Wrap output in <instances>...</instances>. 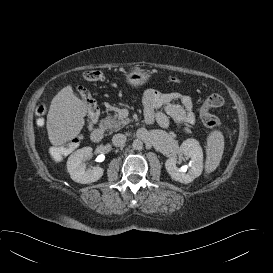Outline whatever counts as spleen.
I'll use <instances>...</instances> for the list:
<instances>
[{"mask_svg":"<svg viewBox=\"0 0 273 273\" xmlns=\"http://www.w3.org/2000/svg\"><path fill=\"white\" fill-rule=\"evenodd\" d=\"M224 151V136L221 131L214 130L207 137L206 145V173L213 172L219 165Z\"/></svg>","mask_w":273,"mask_h":273,"instance_id":"obj_1","label":"spleen"}]
</instances>
